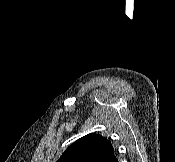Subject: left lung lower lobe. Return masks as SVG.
Masks as SVG:
<instances>
[{"instance_id":"1","label":"left lung lower lobe","mask_w":175,"mask_h":162,"mask_svg":"<svg viewBox=\"0 0 175 162\" xmlns=\"http://www.w3.org/2000/svg\"><path fill=\"white\" fill-rule=\"evenodd\" d=\"M106 162H118L117 158L115 157L114 153H112L108 159L106 160Z\"/></svg>"}]
</instances>
